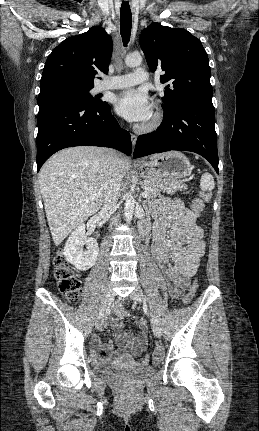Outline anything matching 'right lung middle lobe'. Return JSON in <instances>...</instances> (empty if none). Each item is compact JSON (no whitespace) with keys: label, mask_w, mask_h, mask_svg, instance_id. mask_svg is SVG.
<instances>
[{"label":"right lung middle lobe","mask_w":259,"mask_h":431,"mask_svg":"<svg viewBox=\"0 0 259 431\" xmlns=\"http://www.w3.org/2000/svg\"><path fill=\"white\" fill-rule=\"evenodd\" d=\"M91 89L92 88L80 87L66 81L49 82L41 89L38 96V105L43 106L59 100H72L93 106L106 103L93 97L90 94Z\"/></svg>","instance_id":"1"}]
</instances>
